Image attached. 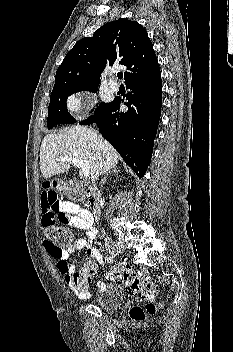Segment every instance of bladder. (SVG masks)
I'll return each mask as SVG.
<instances>
[{"label": "bladder", "mask_w": 233, "mask_h": 352, "mask_svg": "<svg viewBox=\"0 0 233 352\" xmlns=\"http://www.w3.org/2000/svg\"><path fill=\"white\" fill-rule=\"evenodd\" d=\"M94 302L102 310L113 313L123 304L124 293L118 286H106L97 292Z\"/></svg>", "instance_id": "31cf9c89"}]
</instances>
